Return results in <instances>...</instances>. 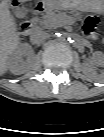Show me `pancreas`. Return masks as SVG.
Listing matches in <instances>:
<instances>
[{"label":"pancreas","instance_id":"1","mask_svg":"<svg viewBox=\"0 0 104 137\" xmlns=\"http://www.w3.org/2000/svg\"><path fill=\"white\" fill-rule=\"evenodd\" d=\"M66 15L65 13H47L39 20L40 25L43 28H57L66 24ZM36 21V19H34Z\"/></svg>","mask_w":104,"mask_h":137}]
</instances>
